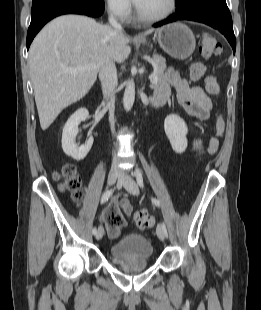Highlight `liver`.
I'll return each instance as SVG.
<instances>
[{
  "label": "liver",
  "mask_w": 261,
  "mask_h": 310,
  "mask_svg": "<svg viewBox=\"0 0 261 310\" xmlns=\"http://www.w3.org/2000/svg\"><path fill=\"white\" fill-rule=\"evenodd\" d=\"M129 42L122 32L81 15L57 17L38 33L29 49L28 64L42 130L89 92L108 60L122 63L127 59ZM85 65L96 67L76 74L65 71Z\"/></svg>",
  "instance_id": "1"
}]
</instances>
